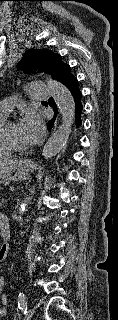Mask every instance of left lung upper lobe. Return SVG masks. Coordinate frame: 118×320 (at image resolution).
<instances>
[{
  "mask_svg": "<svg viewBox=\"0 0 118 320\" xmlns=\"http://www.w3.org/2000/svg\"><path fill=\"white\" fill-rule=\"evenodd\" d=\"M18 67L25 73L36 72V70L44 71L53 75L54 79L58 81L64 77L70 68L68 64L62 61L61 55L48 49H28Z\"/></svg>",
  "mask_w": 118,
  "mask_h": 320,
  "instance_id": "left-lung-upper-lobe-1",
  "label": "left lung upper lobe"
}]
</instances>
